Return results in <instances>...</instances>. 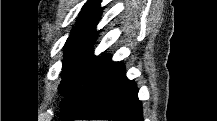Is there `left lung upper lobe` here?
Wrapping results in <instances>:
<instances>
[{
    "instance_id": "obj_1",
    "label": "left lung upper lobe",
    "mask_w": 217,
    "mask_h": 121,
    "mask_svg": "<svg viewBox=\"0 0 217 121\" xmlns=\"http://www.w3.org/2000/svg\"><path fill=\"white\" fill-rule=\"evenodd\" d=\"M100 0H88L80 11L64 46L62 81L59 93L66 96L61 103V118L72 120L76 115L87 88L98 77L109 56H95L92 50L98 31L96 25L103 8Z\"/></svg>"
}]
</instances>
